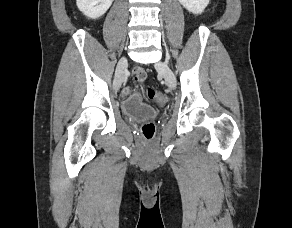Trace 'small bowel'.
I'll use <instances>...</instances> for the list:
<instances>
[{"label": "small bowel", "mask_w": 292, "mask_h": 228, "mask_svg": "<svg viewBox=\"0 0 292 228\" xmlns=\"http://www.w3.org/2000/svg\"><path fill=\"white\" fill-rule=\"evenodd\" d=\"M146 76V71L142 67H135L132 70L133 85L124 87L121 91V95L123 97H129L132 101L140 102L141 95L138 92H134V87L138 83L144 81Z\"/></svg>", "instance_id": "obj_1"}]
</instances>
